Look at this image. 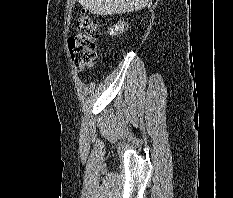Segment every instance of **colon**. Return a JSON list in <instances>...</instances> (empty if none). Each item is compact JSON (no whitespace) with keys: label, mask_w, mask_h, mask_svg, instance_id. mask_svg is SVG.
Wrapping results in <instances>:
<instances>
[{"label":"colon","mask_w":233,"mask_h":198,"mask_svg":"<svg viewBox=\"0 0 233 198\" xmlns=\"http://www.w3.org/2000/svg\"><path fill=\"white\" fill-rule=\"evenodd\" d=\"M97 25L83 12L77 20L76 30L68 40L71 58L79 70L90 68L96 60Z\"/></svg>","instance_id":"colon-1"}]
</instances>
